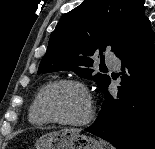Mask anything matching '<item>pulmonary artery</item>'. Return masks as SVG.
<instances>
[{
  "label": "pulmonary artery",
  "mask_w": 155,
  "mask_h": 149,
  "mask_svg": "<svg viewBox=\"0 0 155 149\" xmlns=\"http://www.w3.org/2000/svg\"><path fill=\"white\" fill-rule=\"evenodd\" d=\"M106 63L108 66L113 67V68H118L120 65L119 59L114 56L107 57Z\"/></svg>",
  "instance_id": "pulmonary-artery-1"
}]
</instances>
